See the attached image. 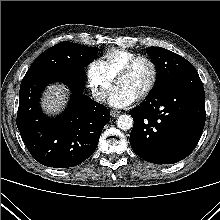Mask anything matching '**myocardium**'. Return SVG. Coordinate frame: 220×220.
<instances>
[{"mask_svg": "<svg viewBox=\"0 0 220 220\" xmlns=\"http://www.w3.org/2000/svg\"><path fill=\"white\" fill-rule=\"evenodd\" d=\"M140 61H145L147 62L150 67H151V79L147 87L138 95L137 99L142 100L148 97L152 91L154 90L157 80H158V68L156 63L154 62L153 59H151L148 56L145 55H137L134 58H132L130 61H128L123 68L119 71V73L116 76V81L118 78H120L123 75L128 74L129 72L132 71V69L136 66V64Z\"/></svg>", "mask_w": 220, "mask_h": 220, "instance_id": "obj_1", "label": "myocardium"}]
</instances>
